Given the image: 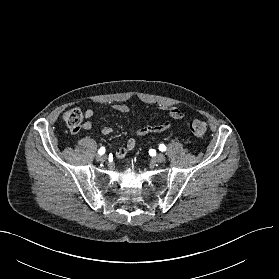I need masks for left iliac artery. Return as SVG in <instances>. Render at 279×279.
<instances>
[{"label": "left iliac artery", "mask_w": 279, "mask_h": 279, "mask_svg": "<svg viewBox=\"0 0 279 279\" xmlns=\"http://www.w3.org/2000/svg\"><path fill=\"white\" fill-rule=\"evenodd\" d=\"M159 150L160 151H166V146L164 144L159 145Z\"/></svg>", "instance_id": "left-iliac-artery-1"}]
</instances>
